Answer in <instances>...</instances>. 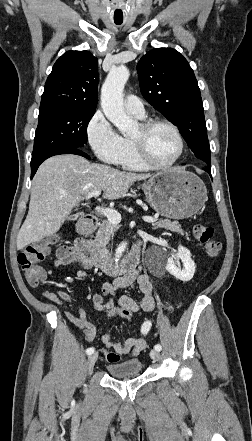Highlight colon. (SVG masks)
Returning <instances> with one entry per match:
<instances>
[{"mask_svg":"<svg viewBox=\"0 0 252 441\" xmlns=\"http://www.w3.org/2000/svg\"><path fill=\"white\" fill-rule=\"evenodd\" d=\"M192 233L196 240L204 244L208 257L213 258L219 254L221 243L214 239L213 228L202 224H195L192 228ZM54 242H56V238L50 237L24 247L18 254V263L30 286L36 287L46 279V271L40 263L49 255L51 245ZM138 310L139 308L135 303H130L111 305L104 312L108 318H121L132 321ZM105 359L109 363H116L119 361L120 356L114 351H107L105 352Z\"/></svg>","mask_w":252,"mask_h":441,"instance_id":"colon-1","label":"colon"}]
</instances>
